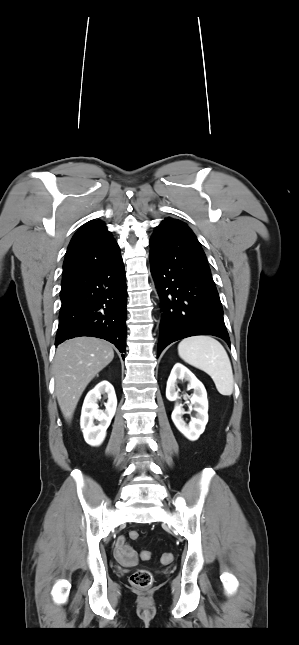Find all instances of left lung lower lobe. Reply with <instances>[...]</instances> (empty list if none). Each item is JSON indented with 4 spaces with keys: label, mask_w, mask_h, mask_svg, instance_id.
I'll use <instances>...</instances> for the list:
<instances>
[{
    "label": "left lung lower lobe",
    "mask_w": 299,
    "mask_h": 645,
    "mask_svg": "<svg viewBox=\"0 0 299 645\" xmlns=\"http://www.w3.org/2000/svg\"><path fill=\"white\" fill-rule=\"evenodd\" d=\"M149 245L163 311L158 356L170 343L195 335H214L230 346L219 294L192 230L176 219L163 221Z\"/></svg>",
    "instance_id": "left-lung-lower-lobe-1"
}]
</instances>
